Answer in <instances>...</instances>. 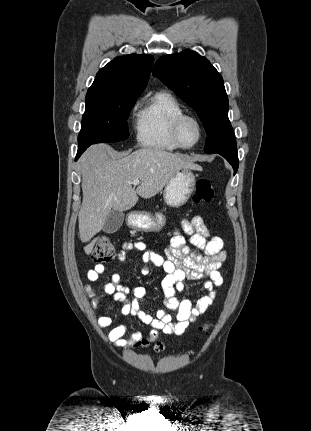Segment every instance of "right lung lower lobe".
I'll use <instances>...</instances> for the list:
<instances>
[{
	"mask_svg": "<svg viewBox=\"0 0 311 431\" xmlns=\"http://www.w3.org/2000/svg\"><path fill=\"white\" fill-rule=\"evenodd\" d=\"M87 148H85V147H78V153H77V156H76V160L78 159V157L86 150Z\"/></svg>",
	"mask_w": 311,
	"mask_h": 431,
	"instance_id": "obj_1",
	"label": "right lung lower lobe"
}]
</instances>
